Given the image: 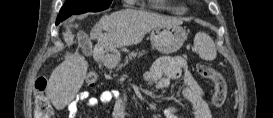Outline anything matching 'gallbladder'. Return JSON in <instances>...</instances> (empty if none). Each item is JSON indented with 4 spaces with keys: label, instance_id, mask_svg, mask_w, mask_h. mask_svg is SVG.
<instances>
[{
    "label": "gallbladder",
    "instance_id": "gallbladder-1",
    "mask_svg": "<svg viewBox=\"0 0 273 118\" xmlns=\"http://www.w3.org/2000/svg\"><path fill=\"white\" fill-rule=\"evenodd\" d=\"M82 51L85 55L89 56L92 54V47L87 43H82Z\"/></svg>",
    "mask_w": 273,
    "mask_h": 118
}]
</instances>
